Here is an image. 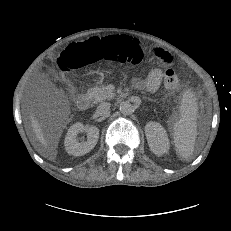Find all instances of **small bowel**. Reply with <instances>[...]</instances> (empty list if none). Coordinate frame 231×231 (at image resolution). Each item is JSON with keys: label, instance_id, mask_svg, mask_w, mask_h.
Here are the masks:
<instances>
[{"label": "small bowel", "instance_id": "c3829d8e", "mask_svg": "<svg viewBox=\"0 0 231 231\" xmlns=\"http://www.w3.org/2000/svg\"><path fill=\"white\" fill-rule=\"evenodd\" d=\"M161 58L167 64H171L173 61L172 57L168 52H161ZM161 79H162L161 69L154 68L149 72L146 79L137 80L136 86L145 89L149 92H155L160 86Z\"/></svg>", "mask_w": 231, "mask_h": 231}]
</instances>
